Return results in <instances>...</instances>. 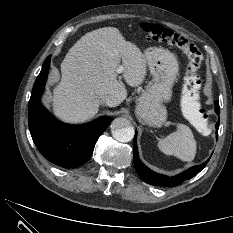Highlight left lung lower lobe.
Wrapping results in <instances>:
<instances>
[{
    "mask_svg": "<svg viewBox=\"0 0 233 233\" xmlns=\"http://www.w3.org/2000/svg\"><path fill=\"white\" fill-rule=\"evenodd\" d=\"M215 112L219 115V102L215 103ZM219 128V120L216 123V129ZM218 134V132H217ZM136 136L137 133H135L134 141H133V148H134V165L135 168L141 177V179L151 185L155 186H167V187H173L176 185L181 184L183 181L190 179L194 177L196 174H198L207 164L209 159L204 162L201 165L193 166L189 168L187 171H184L183 173L176 175L175 177H167L161 174H158L156 172H153L150 170L147 166H145L141 160L138 157V149L136 144Z\"/></svg>",
    "mask_w": 233,
    "mask_h": 233,
    "instance_id": "obj_1",
    "label": "left lung lower lobe"
}]
</instances>
